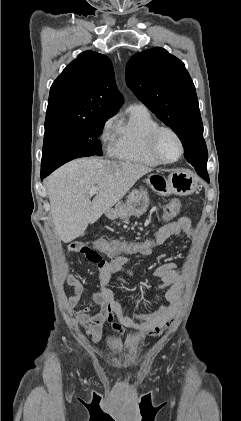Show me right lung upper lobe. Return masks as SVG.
<instances>
[{"mask_svg": "<svg viewBox=\"0 0 241 421\" xmlns=\"http://www.w3.org/2000/svg\"><path fill=\"white\" fill-rule=\"evenodd\" d=\"M122 104L110 59L85 51L52 84L47 114L112 116Z\"/></svg>", "mask_w": 241, "mask_h": 421, "instance_id": "1", "label": "right lung upper lobe"}]
</instances>
